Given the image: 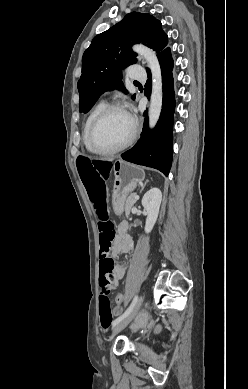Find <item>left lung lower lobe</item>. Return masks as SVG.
Instances as JSON below:
<instances>
[{
	"mask_svg": "<svg viewBox=\"0 0 248 389\" xmlns=\"http://www.w3.org/2000/svg\"><path fill=\"white\" fill-rule=\"evenodd\" d=\"M157 57L163 82V104L160 119L155 128L150 131L146 117L141 138L132 149L123 153L121 157L138 165L155 168L167 176L172 164V131L175 110L173 59L170 48L164 49ZM147 72L149 79L145 84V95L149 97L152 81L150 70ZM145 115H147V111Z\"/></svg>",
	"mask_w": 248,
	"mask_h": 389,
	"instance_id": "1",
	"label": "left lung lower lobe"
}]
</instances>
